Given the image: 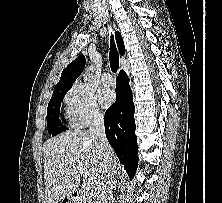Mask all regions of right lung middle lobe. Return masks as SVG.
I'll return each mask as SVG.
<instances>
[{
	"label": "right lung middle lobe",
	"mask_w": 222,
	"mask_h": 203,
	"mask_svg": "<svg viewBox=\"0 0 222 203\" xmlns=\"http://www.w3.org/2000/svg\"><path fill=\"white\" fill-rule=\"evenodd\" d=\"M68 90L69 89L53 92L52 98L49 101L47 108V127L49 134L52 136L67 130V128L63 127L60 123L59 112L61 101ZM59 126H61L62 129H60Z\"/></svg>",
	"instance_id": "right-lung-middle-lobe-1"
}]
</instances>
